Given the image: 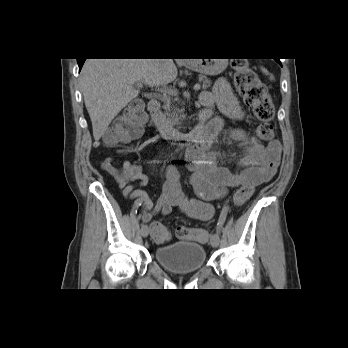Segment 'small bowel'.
<instances>
[{
	"mask_svg": "<svg viewBox=\"0 0 348 348\" xmlns=\"http://www.w3.org/2000/svg\"><path fill=\"white\" fill-rule=\"evenodd\" d=\"M201 104L208 109L215 104L221 112L234 120H241L244 113L234 96L226 78H219L212 92L200 93ZM214 136L223 134L231 142L241 144L246 150L239 156L238 171L232 172L223 164V155L208 151L205 147L191 146L188 159L191 162V183L198 199H188L181 191L179 174L175 168H169L162 193L153 204L148 194L141 189L148 184V177L142 167L124 160L115 167L109 160L101 164V169L111 175L119 187L124 199L134 200V210L141 208L142 220L149 222L157 214H169L177 209L191 219L209 220L213 216L212 201L223 198L228 189L251 185L256 186L269 181L276 173L280 163L281 144L270 141L266 146L254 142L244 131L230 127L223 117H215L210 122Z\"/></svg>",
	"mask_w": 348,
	"mask_h": 348,
	"instance_id": "obj_1",
	"label": "small bowel"
}]
</instances>
